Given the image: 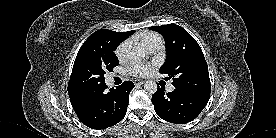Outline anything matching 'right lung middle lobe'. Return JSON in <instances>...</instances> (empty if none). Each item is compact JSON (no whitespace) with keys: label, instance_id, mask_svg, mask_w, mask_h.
<instances>
[{"label":"right lung middle lobe","instance_id":"right-lung-middle-lobe-1","mask_svg":"<svg viewBox=\"0 0 276 138\" xmlns=\"http://www.w3.org/2000/svg\"><path fill=\"white\" fill-rule=\"evenodd\" d=\"M115 49L108 43H100L80 50L73 65L68 90L86 92L104 85L106 72H112L119 64Z\"/></svg>","mask_w":276,"mask_h":138}]
</instances>
